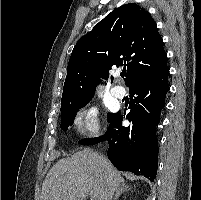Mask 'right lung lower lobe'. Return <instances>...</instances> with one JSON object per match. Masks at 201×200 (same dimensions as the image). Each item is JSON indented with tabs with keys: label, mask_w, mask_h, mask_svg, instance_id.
<instances>
[{
	"label": "right lung lower lobe",
	"mask_w": 201,
	"mask_h": 200,
	"mask_svg": "<svg viewBox=\"0 0 201 200\" xmlns=\"http://www.w3.org/2000/svg\"><path fill=\"white\" fill-rule=\"evenodd\" d=\"M168 75L169 69L166 67L129 88L131 103L126 119L132 123L131 126H122L123 116L120 112L111 114L105 135L85 138L79 143L94 145L107 140L108 158L118 170L130 171L154 181L158 167L155 129L160 122V112L165 106V97L169 90Z\"/></svg>",
	"instance_id": "98d812e1"
}]
</instances>
